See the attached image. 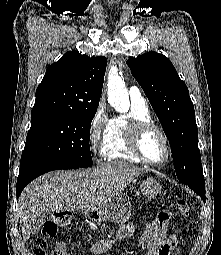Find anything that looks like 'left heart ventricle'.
Returning <instances> with one entry per match:
<instances>
[{
	"instance_id": "obj_1",
	"label": "left heart ventricle",
	"mask_w": 221,
	"mask_h": 255,
	"mask_svg": "<svg viewBox=\"0 0 221 255\" xmlns=\"http://www.w3.org/2000/svg\"><path fill=\"white\" fill-rule=\"evenodd\" d=\"M142 151L151 161L161 162L166 156V148L160 135L155 131L148 132L142 140Z\"/></svg>"
}]
</instances>
